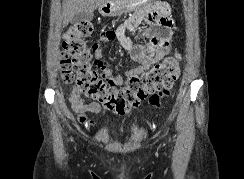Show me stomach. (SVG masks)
Listing matches in <instances>:
<instances>
[{
	"label": "stomach",
	"instance_id": "1",
	"mask_svg": "<svg viewBox=\"0 0 244 179\" xmlns=\"http://www.w3.org/2000/svg\"><path fill=\"white\" fill-rule=\"evenodd\" d=\"M147 0H106L104 4H100L99 12L102 16H120L126 12L137 10Z\"/></svg>",
	"mask_w": 244,
	"mask_h": 179
}]
</instances>
